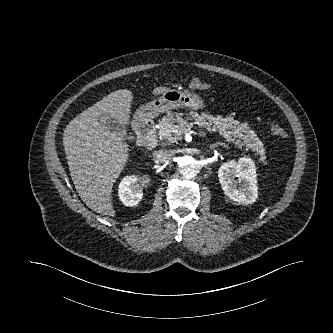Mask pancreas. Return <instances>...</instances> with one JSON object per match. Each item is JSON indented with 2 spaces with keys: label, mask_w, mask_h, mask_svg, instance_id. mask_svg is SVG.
<instances>
[{
  "label": "pancreas",
  "mask_w": 333,
  "mask_h": 333,
  "mask_svg": "<svg viewBox=\"0 0 333 333\" xmlns=\"http://www.w3.org/2000/svg\"><path fill=\"white\" fill-rule=\"evenodd\" d=\"M192 119L200 128L207 129L209 132L218 131L227 141L235 142L239 149L251 150L255 156H260V161L264 160L263 145L247 124L240 123L232 117H213L205 113L199 115L196 112H189L186 120ZM159 126V135L171 143L182 140V136L191 130L189 124L182 118V114L173 117L171 113H168L167 117L159 121Z\"/></svg>",
  "instance_id": "pancreas-1"
}]
</instances>
